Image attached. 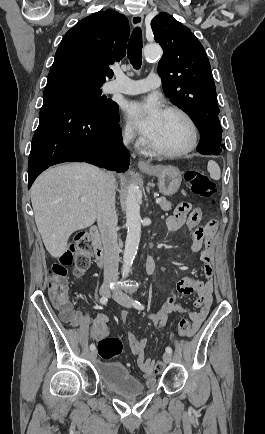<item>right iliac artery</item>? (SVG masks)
Masks as SVG:
<instances>
[{"label":"right iliac artery","instance_id":"obj_1","mask_svg":"<svg viewBox=\"0 0 265 434\" xmlns=\"http://www.w3.org/2000/svg\"><path fill=\"white\" fill-rule=\"evenodd\" d=\"M100 303L103 304V305H105V304L107 303V298L104 297V296L101 297V298H100ZM95 348H96V347H95L94 344H91V345H90V350H95Z\"/></svg>","mask_w":265,"mask_h":434}]
</instances>
